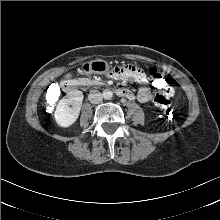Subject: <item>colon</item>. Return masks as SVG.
<instances>
[{
	"label": "colon",
	"instance_id": "obj_1",
	"mask_svg": "<svg viewBox=\"0 0 220 220\" xmlns=\"http://www.w3.org/2000/svg\"><path fill=\"white\" fill-rule=\"evenodd\" d=\"M149 75L151 76L150 85L154 91L162 92L168 88L169 80L165 74L159 73L155 68H150ZM57 94L58 90L53 89L50 93V96L54 97ZM155 103L164 110L165 116L169 121H173L175 119L174 110L172 108L170 99H167L163 96H156Z\"/></svg>",
	"mask_w": 220,
	"mask_h": 220
}]
</instances>
